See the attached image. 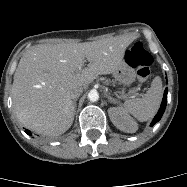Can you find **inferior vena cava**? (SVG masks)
<instances>
[{"label":"inferior vena cava","mask_w":187,"mask_h":187,"mask_svg":"<svg viewBox=\"0 0 187 187\" xmlns=\"http://www.w3.org/2000/svg\"><path fill=\"white\" fill-rule=\"evenodd\" d=\"M82 92H83L82 87H76L71 91L70 96H71V98L76 99L82 94Z\"/></svg>","instance_id":"obj_1"}]
</instances>
